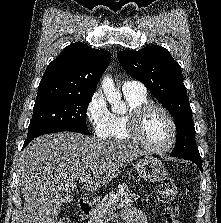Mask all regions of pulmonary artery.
I'll return each mask as SVG.
<instances>
[{
  "instance_id": "obj_1",
  "label": "pulmonary artery",
  "mask_w": 221,
  "mask_h": 223,
  "mask_svg": "<svg viewBox=\"0 0 221 223\" xmlns=\"http://www.w3.org/2000/svg\"><path fill=\"white\" fill-rule=\"evenodd\" d=\"M122 91L124 94L128 93H146L145 86L136 80H127L122 85Z\"/></svg>"
}]
</instances>
